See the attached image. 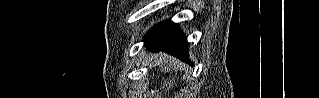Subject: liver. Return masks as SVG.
<instances>
[{"mask_svg":"<svg viewBox=\"0 0 319 98\" xmlns=\"http://www.w3.org/2000/svg\"><path fill=\"white\" fill-rule=\"evenodd\" d=\"M168 60H171V57L169 55H166V54H161L160 55V61H163L165 63L168 62ZM174 60V59H173ZM161 71H163L164 73L167 71L168 72V68H163V66H161ZM167 84H168V87H167ZM165 87H167V89L173 87V77L172 79H167L166 81H164L163 85H162V89L164 90Z\"/></svg>","mask_w":319,"mask_h":98,"instance_id":"1","label":"liver"}]
</instances>
